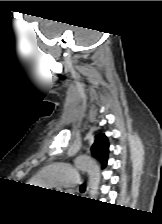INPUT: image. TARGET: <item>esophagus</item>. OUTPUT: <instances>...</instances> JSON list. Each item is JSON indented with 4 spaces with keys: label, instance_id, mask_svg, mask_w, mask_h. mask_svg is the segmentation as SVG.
<instances>
[{
    "label": "esophagus",
    "instance_id": "1",
    "mask_svg": "<svg viewBox=\"0 0 162 224\" xmlns=\"http://www.w3.org/2000/svg\"><path fill=\"white\" fill-rule=\"evenodd\" d=\"M89 190V186H87V191Z\"/></svg>",
    "mask_w": 162,
    "mask_h": 224
}]
</instances>
